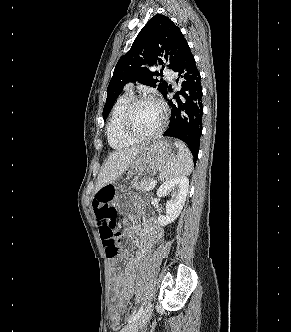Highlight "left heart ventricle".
Instances as JSON below:
<instances>
[{
  "mask_svg": "<svg viewBox=\"0 0 291 332\" xmlns=\"http://www.w3.org/2000/svg\"><path fill=\"white\" fill-rule=\"evenodd\" d=\"M133 128L143 135L155 132L161 124L159 107L150 101L140 103L133 114Z\"/></svg>",
  "mask_w": 291,
  "mask_h": 332,
  "instance_id": "1",
  "label": "left heart ventricle"
}]
</instances>
